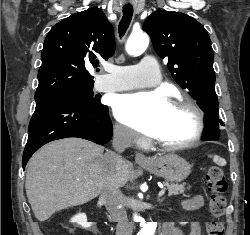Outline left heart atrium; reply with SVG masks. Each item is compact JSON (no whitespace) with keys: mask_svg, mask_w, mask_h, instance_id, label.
<instances>
[{"mask_svg":"<svg viewBox=\"0 0 250 235\" xmlns=\"http://www.w3.org/2000/svg\"><path fill=\"white\" fill-rule=\"evenodd\" d=\"M169 106L161 92L135 93L119 96L114 112L124 124L152 136Z\"/></svg>","mask_w":250,"mask_h":235,"instance_id":"obj_1","label":"left heart atrium"}]
</instances>
